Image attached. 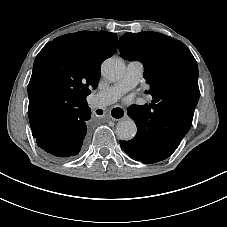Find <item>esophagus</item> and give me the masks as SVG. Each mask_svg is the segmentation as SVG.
<instances>
[{"label":"esophagus","instance_id":"34e87169","mask_svg":"<svg viewBox=\"0 0 227 227\" xmlns=\"http://www.w3.org/2000/svg\"><path fill=\"white\" fill-rule=\"evenodd\" d=\"M110 115L114 120H122L124 118V110L122 107H114L110 110Z\"/></svg>","mask_w":227,"mask_h":227}]
</instances>
